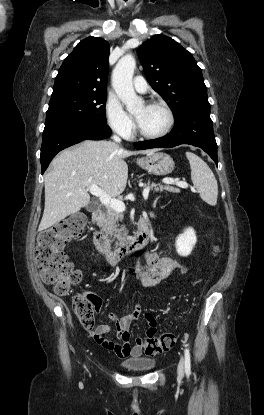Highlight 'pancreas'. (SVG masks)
<instances>
[{
    "label": "pancreas",
    "instance_id": "obj_1",
    "mask_svg": "<svg viewBox=\"0 0 264 415\" xmlns=\"http://www.w3.org/2000/svg\"><path fill=\"white\" fill-rule=\"evenodd\" d=\"M146 187H150L151 189H154L155 191H169L173 193H178L179 189L173 188L168 185H157V184H148ZM124 216L122 212H117L113 209H108L105 221L102 225L103 231L106 233V235L113 238V241H115L116 246L123 245L125 242L124 234L125 229L123 226H119L118 223L122 222Z\"/></svg>",
    "mask_w": 264,
    "mask_h": 415
}]
</instances>
